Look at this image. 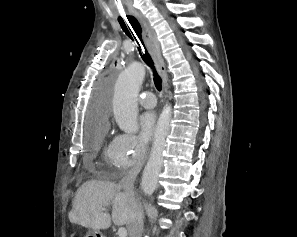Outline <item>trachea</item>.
<instances>
[{"label": "trachea", "mask_w": 297, "mask_h": 237, "mask_svg": "<svg viewBox=\"0 0 297 237\" xmlns=\"http://www.w3.org/2000/svg\"><path fill=\"white\" fill-rule=\"evenodd\" d=\"M119 23L128 37L135 40L138 45V51L143 61L152 69L153 81L158 91L162 89V80L158 75L153 60L144 44L142 38V28L135 17H128L127 20H119Z\"/></svg>", "instance_id": "1"}]
</instances>
